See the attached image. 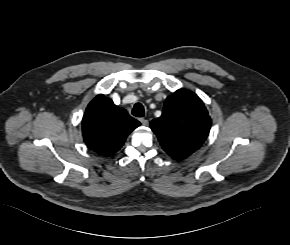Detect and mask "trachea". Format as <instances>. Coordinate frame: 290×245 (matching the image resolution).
<instances>
[{"label":"trachea","instance_id":"1","mask_svg":"<svg viewBox=\"0 0 290 245\" xmlns=\"http://www.w3.org/2000/svg\"><path fill=\"white\" fill-rule=\"evenodd\" d=\"M132 114L136 117L144 116V107L141 103H136L133 107Z\"/></svg>","mask_w":290,"mask_h":245}]
</instances>
